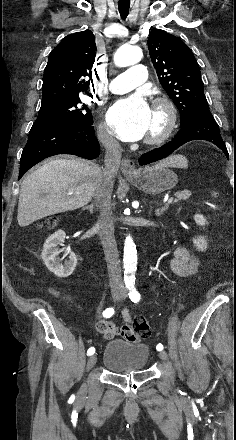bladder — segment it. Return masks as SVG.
<instances>
[{
  "instance_id": "bladder-1",
  "label": "bladder",
  "mask_w": 236,
  "mask_h": 440,
  "mask_svg": "<svg viewBox=\"0 0 236 440\" xmlns=\"http://www.w3.org/2000/svg\"><path fill=\"white\" fill-rule=\"evenodd\" d=\"M149 361L147 344L119 338L108 341L102 355L103 365L115 373L145 371Z\"/></svg>"
}]
</instances>
